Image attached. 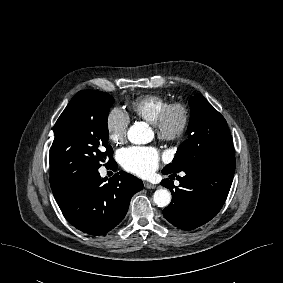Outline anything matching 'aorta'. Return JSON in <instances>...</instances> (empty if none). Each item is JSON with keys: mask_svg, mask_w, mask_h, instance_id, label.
Returning <instances> with one entry per match:
<instances>
[{"mask_svg": "<svg viewBox=\"0 0 283 283\" xmlns=\"http://www.w3.org/2000/svg\"><path fill=\"white\" fill-rule=\"evenodd\" d=\"M128 139L133 144H145L151 141L152 132L144 122H136L127 133ZM154 203L159 207H166L171 202V193L167 189H158L153 194Z\"/></svg>", "mask_w": 283, "mask_h": 283, "instance_id": "aorta-1", "label": "aorta"}]
</instances>
